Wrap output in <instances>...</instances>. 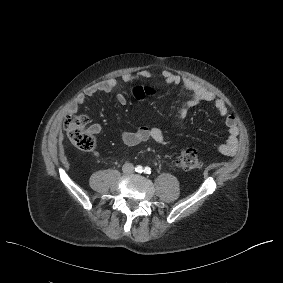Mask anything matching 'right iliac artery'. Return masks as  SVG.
Masks as SVG:
<instances>
[{"instance_id":"obj_1","label":"right iliac artery","mask_w":283,"mask_h":283,"mask_svg":"<svg viewBox=\"0 0 283 283\" xmlns=\"http://www.w3.org/2000/svg\"><path fill=\"white\" fill-rule=\"evenodd\" d=\"M135 171L138 172V173H141V172L143 171L142 166H137V167L135 168Z\"/></svg>"}]
</instances>
